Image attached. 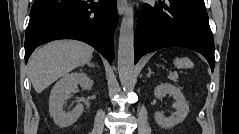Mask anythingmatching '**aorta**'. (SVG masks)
I'll use <instances>...</instances> for the list:
<instances>
[{
	"label": "aorta",
	"mask_w": 239,
	"mask_h": 134,
	"mask_svg": "<svg viewBox=\"0 0 239 134\" xmlns=\"http://www.w3.org/2000/svg\"><path fill=\"white\" fill-rule=\"evenodd\" d=\"M118 72L121 85L130 89L134 77V11L129 5L119 29Z\"/></svg>",
	"instance_id": "762f6f07"
}]
</instances>
